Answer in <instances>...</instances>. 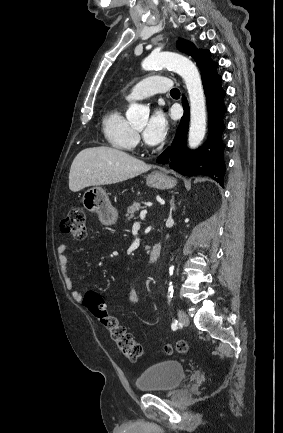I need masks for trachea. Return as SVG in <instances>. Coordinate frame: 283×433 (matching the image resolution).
I'll list each match as a JSON object with an SVG mask.
<instances>
[{
	"mask_svg": "<svg viewBox=\"0 0 283 433\" xmlns=\"http://www.w3.org/2000/svg\"><path fill=\"white\" fill-rule=\"evenodd\" d=\"M171 95H180V91L178 90V88H172V90L170 91Z\"/></svg>",
	"mask_w": 283,
	"mask_h": 433,
	"instance_id": "1",
	"label": "trachea"
}]
</instances>
